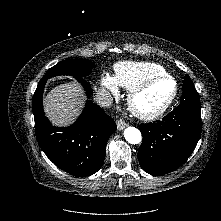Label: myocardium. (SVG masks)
<instances>
[{
  "label": "myocardium",
  "mask_w": 221,
  "mask_h": 221,
  "mask_svg": "<svg viewBox=\"0 0 221 221\" xmlns=\"http://www.w3.org/2000/svg\"><path fill=\"white\" fill-rule=\"evenodd\" d=\"M163 80H167L172 83V90L168 98L159 107H157L154 110L151 111L141 110L137 106L136 103L137 98L145 91H147L150 87H152L155 83ZM176 95H177V83L175 79L168 74H162L152 77L147 81L143 82L142 84H140L139 86L132 89L128 95V107L134 116H136L141 120L149 121L161 116L171 106V104L175 100Z\"/></svg>",
  "instance_id": "obj_1"
}]
</instances>
